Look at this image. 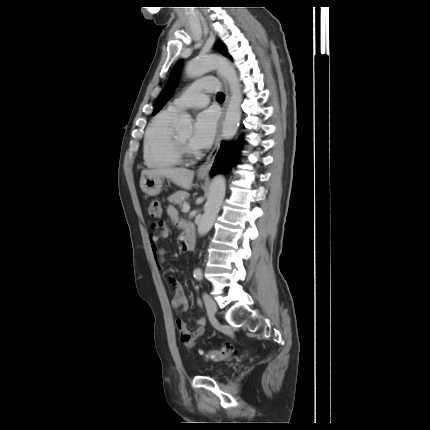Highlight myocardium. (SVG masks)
<instances>
[{"label":"myocardium","mask_w":430,"mask_h":430,"mask_svg":"<svg viewBox=\"0 0 430 430\" xmlns=\"http://www.w3.org/2000/svg\"><path fill=\"white\" fill-rule=\"evenodd\" d=\"M174 149L180 161H189L196 156V152L189 144L181 140L178 133L175 131L173 135Z\"/></svg>","instance_id":"f54148a6"}]
</instances>
